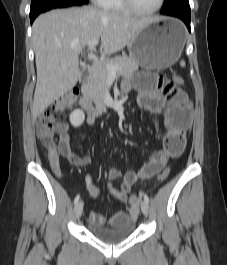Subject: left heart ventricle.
<instances>
[{
	"label": "left heart ventricle",
	"mask_w": 227,
	"mask_h": 265,
	"mask_svg": "<svg viewBox=\"0 0 227 265\" xmlns=\"http://www.w3.org/2000/svg\"><path fill=\"white\" fill-rule=\"evenodd\" d=\"M159 0H132L136 8L140 10H149L158 4Z\"/></svg>",
	"instance_id": "b2bd125f"
}]
</instances>
